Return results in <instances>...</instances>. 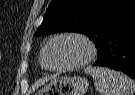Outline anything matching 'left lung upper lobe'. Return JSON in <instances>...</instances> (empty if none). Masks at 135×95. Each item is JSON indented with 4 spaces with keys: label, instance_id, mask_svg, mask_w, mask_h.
I'll list each match as a JSON object with an SVG mask.
<instances>
[{
    "label": "left lung upper lobe",
    "instance_id": "5c2ea615",
    "mask_svg": "<svg viewBox=\"0 0 135 95\" xmlns=\"http://www.w3.org/2000/svg\"><path fill=\"white\" fill-rule=\"evenodd\" d=\"M135 19V0H52L36 36L86 34L97 50L111 33Z\"/></svg>",
    "mask_w": 135,
    "mask_h": 95
}]
</instances>
